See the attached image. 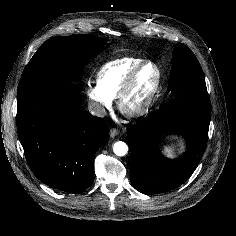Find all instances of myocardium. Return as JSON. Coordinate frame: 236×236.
<instances>
[{"instance_id":"f54148a6","label":"myocardium","mask_w":236,"mask_h":236,"mask_svg":"<svg viewBox=\"0 0 236 236\" xmlns=\"http://www.w3.org/2000/svg\"><path fill=\"white\" fill-rule=\"evenodd\" d=\"M146 66H153L157 71V81H156L155 87L152 90V92L150 93L148 99L145 101V103L142 106H140L139 108H137L133 111H126L124 109L125 99L129 95V93L133 87V84L135 82L136 77L138 76L140 71L143 68H145ZM162 83H163V73H162L160 66L151 60L143 61L142 63H140L134 69L131 70V72L126 77V79H125V81H124V83L117 95V107H118L119 111L123 115H125L126 117H128L130 119H137V118H141V117L147 115L150 112V110L153 108V106L155 105V103L158 99V96H159L161 88H162Z\"/></svg>"}]
</instances>
